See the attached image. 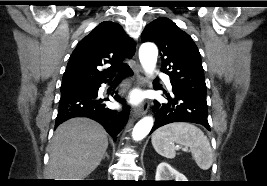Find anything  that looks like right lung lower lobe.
Wrapping results in <instances>:
<instances>
[{
	"label": "right lung lower lobe",
	"mask_w": 267,
	"mask_h": 186,
	"mask_svg": "<svg viewBox=\"0 0 267 186\" xmlns=\"http://www.w3.org/2000/svg\"><path fill=\"white\" fill-rule=\"evenodd\" d=\"M132 74L133 72L129 66L120 70L118 81L115 83L114 88L122 79ZM112 79L113 77L102 82L74 85L61 90L62 94L55 127L70 118L88 117L99 122L116 141V136L128 120L129 107L124 99L115 95L114 99L123 105V110H111L104 104V101L108 99H102L98 96L101 84ZM115 93L117 94V92Z\"/></svg>",
	"instance_id": "1"
}]
</instances>
